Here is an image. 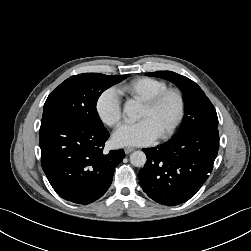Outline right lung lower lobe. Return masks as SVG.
<instances>
[{
  "instance_id": "obj_1",
  "label": "right lung lower lobe",
  "mask_w": 251,
  "mask_h": 251,
  "mask_svg": "<svg viewBox=\"0 0 251 251\" xmlns=\"http://www.w3.org/2000/svg\"><path fill=\"white\" fill-rule=\"evenodd\" d=\"M39 136L41 165L51 186L60 197L78 204L99 199L125 157L123 149L103 152L110 136L104 126L56 118L41 123Z\"/></svg>"
}]
</instances>
